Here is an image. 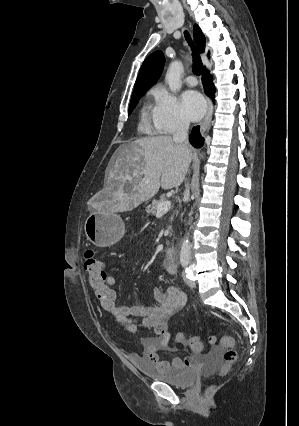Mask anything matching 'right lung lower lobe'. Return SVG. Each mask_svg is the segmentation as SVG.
I'll list each match as a JSON object with an SVG mask.
<instances>
[{"instance_id":"right-lung-lower-lobe-1","label":"right lung lower lobe","mask_w":299,"mask_h":426,"mask_svg":"<svg viewBox=\"0 0 299 426\" xmlns=\"http://www.w3.org/2000/svg\"><path fill=\"white\" fill-rule=\"evenodd\" d=\"M202 82L203 85L205 87V91L206 93L212 98V100H215V87L214 84L212 83V77L209 75L207 69H205L204 71V75L202 77ZM199 126H195L192 129V132L190 134L189 140L190 143L194 146V147H201L204 143V139L201 137V134L199 132Z\"/></svg>"}]
</instances>
